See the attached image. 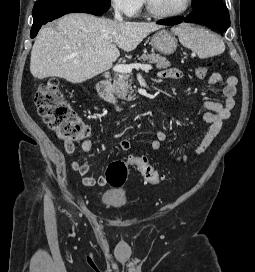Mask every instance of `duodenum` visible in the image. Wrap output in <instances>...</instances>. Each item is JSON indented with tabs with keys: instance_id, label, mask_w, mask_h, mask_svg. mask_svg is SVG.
<instances>
[{
	"instance_id": "1",
	"label": "duodenum",
	"mask_w": 255,
	"mask_h": 272,
	"mask_svg": "<svg viewBox=\"0 0 255 272\" xmlns=\"http://www.w3.org/2000/svg\"><path fill=\"white\" fill-rule=\"evenodd\" d=\"M99 95L112 106L119 108V102L111 90V84L108 79H102L95 85Z\"/></svg>"
}]
</instances>
